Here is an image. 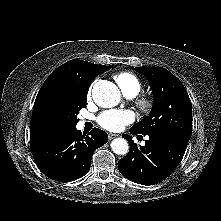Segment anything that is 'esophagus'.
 I'll use <instances>...</instances> for the list:
<instances>
[{
    "label": "esophagus",
    "instance_id": "34e87169",
    "mask_svg": "<svg viewBox=\"0 0 221 221\" xmlns=\"http://www.w3.org/2000/svg\"><path fill=\"white\" fill-rule=\"evenodd\" d=\"M119 135L118 134H114V133H109L108 137H109V140H112L116 137H118Z\"/></svg>",
    "mask_w": 221,
    "mask_h": 221
}]
</instances>
